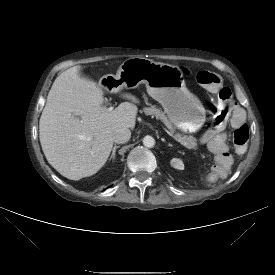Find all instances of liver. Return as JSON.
<instances>
[{
	"mask_svg": "<svg viewBox=\"0 0 275 275\" xmlns=\"http://www.w3.org/2000/svg\"><path fill=\"white\" fill-rule=\"evenodd\" d=\"M81 66L61 73L54 81L39 121V138L49 164L62 176L79 180L97 173L106 163L117 129H134L139 100H130L109 111L103 90L81 76Z\"/></svg>",
	"mask_w": 275,
	"mask_h": 275,
	"instance_id": "1",
	"label": "liver"
}]
</instances>
